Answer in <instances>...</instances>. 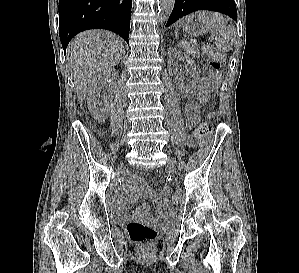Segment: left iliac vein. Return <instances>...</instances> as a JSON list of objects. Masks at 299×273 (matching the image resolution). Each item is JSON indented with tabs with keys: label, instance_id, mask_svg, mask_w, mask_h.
<instances>
[{
	"label": "left iliac vein",
	"instance_id": "obj_1",
	"mask_svg": "<svg viewBox=\"0 0 299 273\" xmlns=\"http://www.w3.org/2000/svg\"><path fill=\"white\" fill-rule=\"evenodd\" d=\"M166 167L171 173H173V174L176 173V165L172 159L168 160Z\"/></svg>",
	"mask_w": 299,
	"mask_h": 273
}]
</instances>
